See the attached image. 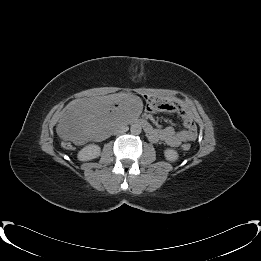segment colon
<instances>
[{
  "instance_id": "5ec220e1",
  "label": "colon",
  "mask_w": 261,
  "mask_h": 261,
  "mask_svg": "<svg viewBox=\"0 0 261 261\" xmlns=\"http://www.w3.org/2000/svg\"><path fill=\"white\" fill-rule=\"evenodd\" d=\"M190 148H191V146H190V144H188V143H184V144H182V146H181V150L184 151V152L189 151Z\"/></svg>"
}]
</instances>
